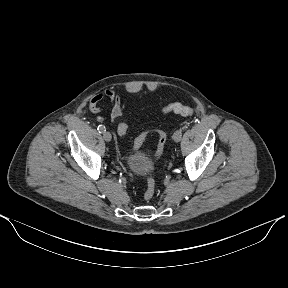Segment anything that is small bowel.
<instances>
[{
  "label": "small bowel",
  "mask_w": 288,
  "mask_h": 288,
  "mask_svg": "<svg viewBox=\"0 0 288 288\" xmlns=\"http://www.w3.org/2000/svg\"><path fill=\"white\" fill-rule=\"evenodd\" d=\"M106 97L109 104H110V117L112 122H117V120L121 117L123 113V105L120 95L114 91L113 89L109 88L106 89L104 93H97L92 96L89 102V109L92 113L98 114L102 111V108L99 106V103ZM122 122L118 125V129L120 128ZM118 134L123 136L119 131Z\"/></svg>",
  "instance_id": "small-bowel-1"
}]
</instances>
